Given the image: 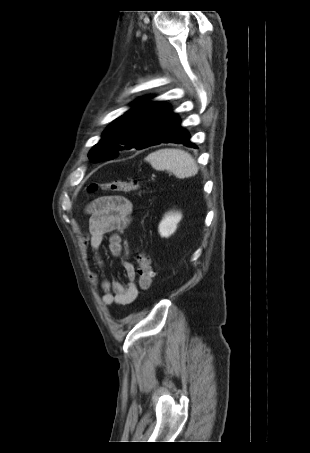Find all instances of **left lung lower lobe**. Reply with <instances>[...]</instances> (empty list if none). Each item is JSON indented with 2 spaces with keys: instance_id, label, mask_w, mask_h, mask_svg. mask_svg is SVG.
I'll list each match as a JSON object with an SVG mask.
<instances>
[{
  "instance_id": "obj_1",
  "label": "left lung lower lobe",
  "mask_w": 310,
  "mask_h": 453,
  "mask_svg": "<svg viewBox=\"0 0 310 453\" xmlns=\"http://www.w3.org/2000/svg\"><path fill=\"white\" fill-rule=\"evenodd\" d=\"M160 143H176L183 144L188 147L197 148L196 145L190 141V134L181 126V121L177 115H175L172 125L170 126L168 132L165 134L164 138L158 140L152 145H157Z\"/></svg>"
}]
</instances>
